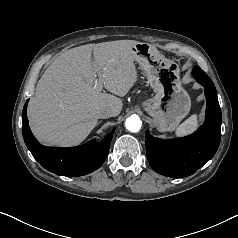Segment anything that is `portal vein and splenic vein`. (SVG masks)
I'll return each mask as SVG.
<instances>
[{"instance_id": "18ae733b", "label": "portal vein and splenic vein", "mask_w": 238, "mask_h": 238, "mask_svg": "<svg viewBox=\"0 0 238 238\" xmlns=\"http://www.w3.org/2000/svg\"><path fill=\"white\" fill-rule=\"evenodd\" d=\"M96 88L98 89V90H102V88H103V85H102V83L101 82H96Z\"/></svg>"}]
</instances>
